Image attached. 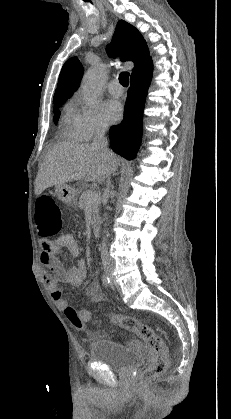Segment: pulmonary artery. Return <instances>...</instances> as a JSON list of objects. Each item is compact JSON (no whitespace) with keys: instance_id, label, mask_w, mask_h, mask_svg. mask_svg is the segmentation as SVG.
I'll return each mask as SVG.
<instances>
[{"instance_id":"1","label":"pulmonary artery","mask_w":231,"mask_h":419,"mask_svg":"<svg viewBox=\"0 0 231 419\" xmlns=\"http://www.w3.org/2000/svg\"><path fill=\"white\" fill-rule=\"evenodd\" d=\"M108 91L114 97H118L123 94V89L119 82L116 80L110 82V84L108 85Z\"/></svg>"}]
</instances>
